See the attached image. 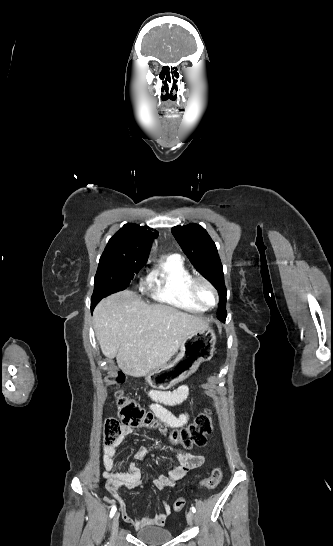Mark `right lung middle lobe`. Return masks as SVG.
Here are the masks:
<instances>
[{
	"mask_svg": "<svg viewBox=\"0 0 333 546\" xmlns=\"http://www.w3.org/2000/svg\"><path fill=\"white\" fill-rule=\"evenodd\" d=\"M129 267L123 259L101 257L94 279L91 302L97 304L103 297L126 289L134 274L139 272Z\"/></svg>",
	"mask_w": 333,
	"mask_h": 546,
	"instance_id": "obj_1",
	"label": "right lung middle lobe"
}]
</instances>
